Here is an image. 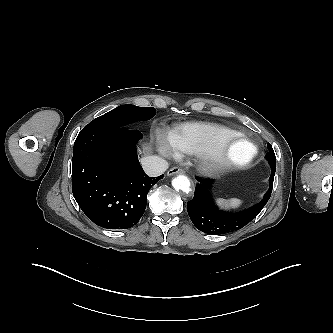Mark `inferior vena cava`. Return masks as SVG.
<instances>
[{
    "label": "inferior vena cava",
    "instance_id": "inferior-vena-cava-1",
    "mask_svg": "<svg viewBox=\"0 0 333 333\" xmlns=\"http://www.w3.org/2000/svg\"><path fill=\"white\" fill-rule=\"evenodd\" d=\"M141 165L145 173L151 177H156L168 169V162L159 156H148L141 159Z\"/></svg>",
    "mask_w": 333,
    "mask_h": 333
}]
</instances>
